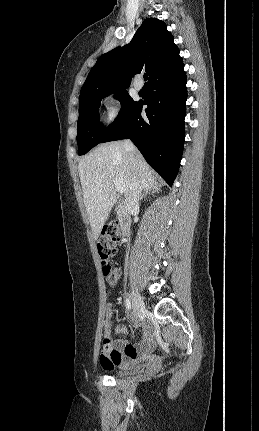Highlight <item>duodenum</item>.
<instances>
[{
	"label": "duodenum",
	"mask_w": 259,
	"mask_h": 431,
	"mask_svg": "<svg viewBox=\"0 0 259 431\" xmlns=\"http://www.w3.org/2000/svg\"><path fill=\"white\" fill-rule=\"evenodd\" d=\"M119 225L123 236H126L131 226V216L127 208L123 205L117 207Z\"/></svg>",
	"instance_id": "duodenum-1"
}]
</instances>
